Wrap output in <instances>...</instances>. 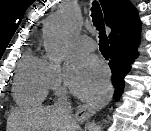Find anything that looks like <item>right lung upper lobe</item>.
<instances>
[{"label":"right lung upper lobe","mask_w":151,"mask_h":131,"mask_svg":"<svg viewBox=\"0 0 151 131\" xmlns=\"http://www.w3.org/2000/svg\"><path fill=\"white\" fill-rule=\"evenodd\" d=\"M106 25L111 28L110 46L134 44L138 46L141 22L136 8L129 0H100Z\"/></svg>","instance_id":"cb5924a9"}]
</instances>
